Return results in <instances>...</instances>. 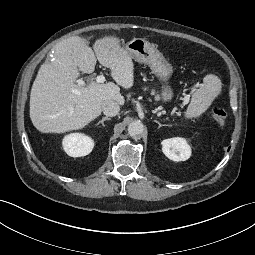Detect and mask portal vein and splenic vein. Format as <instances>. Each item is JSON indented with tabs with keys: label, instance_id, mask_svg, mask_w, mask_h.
I'll list each match as a JSON object with an SVG mask.
<instances>
[{
	"label": "portal vein and splenic vein",
	"instance_id": "obj_1",
	"mask_svg": "<svg viewBox=\"0 0 255 255\" xmlns=\"http://www.w3.org/2000/svg\"><path fill=\"white\" fill-rule=\"evenodd\" d=\"M105 81V76L104 75H99L96 77V82L97 83H103ZM77 83L79 86H84L85 85V81L79 79L77 80Z\"/></svg>",
	"mask_w": 255,
	"mask_h": 255
}]
</instances>
